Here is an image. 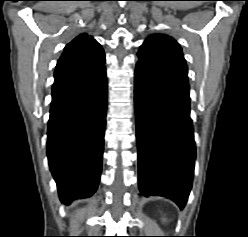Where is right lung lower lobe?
Wrapping results in <instances>:
<instances>
[{
    "label": "right lung lower lobe",
    "instance_id": "1",
    "mask_svg": "<svg viewBox=\"0 0 248 237\" xmlns=\"http://www.w3.org/2000/svg\"><path fill=\"white\" fill-rule=\"evenodd\" d=\"M106 107L104 65L55 78L47 156L64 204L96 192L102 167Z\"/></svg>",
    "mask_w": 248,
    "mask_h": 237
}]
</instances>
